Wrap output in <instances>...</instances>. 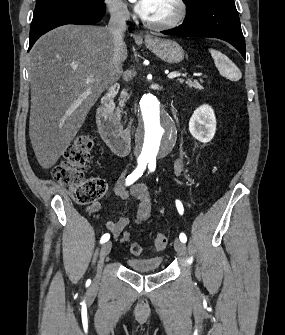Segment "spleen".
I'll return each mask as SVG.
<instances>
[{"mask_svg":"<svg viewBox=\"0 0 285 335\" xmlns=\"http://www.w3.org/2000/svg\"><path fill=\"white\" fill-rule=\"evenodd\" d=\"M213 60H215V62H217V60H219L221 54L220 52H216V50H209ZM223 70H227V66H223Z\"/></svg>","mask_w":285,"mask_h":335,"instance_id":"3e777b00","label":"spleen"}]
</instances>
